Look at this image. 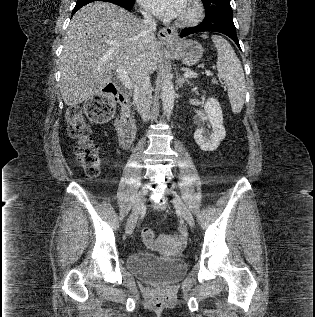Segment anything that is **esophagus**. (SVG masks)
Instances as JSON below:
<instances>
[{
  "label": "esophagus",
  "instance_id": "34e87169",
  "mask_svg": "<svg viewBox=\"0 0 315 317\" xmlns=\"http://www.w3.org/2000/svg\"><path fill=\"white\" fill-rule=\"evenodd\" d=\"M158 37L161 43L163 44H170L172 41L177 39L178 33L177 31L172 27H164L159 30Z\"/></svg>",
  "mask_w": 315,
  "mask_h": 317
}]
</instances>
